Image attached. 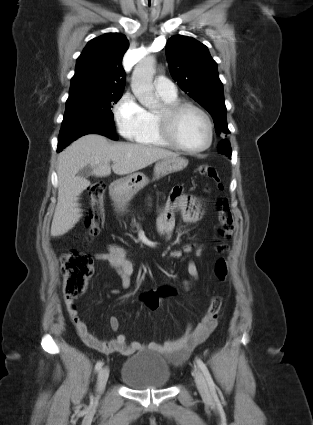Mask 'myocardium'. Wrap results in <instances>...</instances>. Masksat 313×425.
<instances>
[{"label":"myocardium","mask_w":313,"mask_h":425,"mask_svg":"<svg viewBox=\"0 0 313 425\" xmlns=\"http://www.w3.org/2000/svg\"><path fill=\"white\" fill-rule=\"evenodd\" d=\"M188 111H195L199 113L206 121L208 128L207 142L199 148H188L183 145L176 134V126L180 117ZM158 131L162 139L171 147L180 150L187 154H198L209 149L214 139V125L209 114L201 107L188 103L177 102L174 104L165 105L163 109L157 114Z\"/></svg>","instance_id":"obj_1"}]
</instances>
